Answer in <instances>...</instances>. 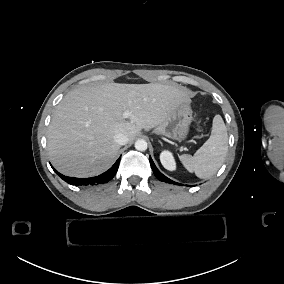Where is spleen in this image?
Segmentation results:
<instances>
[{
    "mask_svg": "<svg viewBox=\"0 0 284 284\" xmlns=\"http://www.w3.org/2000/svg\"><path fill=\"white\" fill-rule=\"evenodd\" d=\"M228 151V134L220 115L213 119L210 138L191 155H180L178 158L183 167L196 177L205 179L214 175L222 166Z\"/></svg>",
    "mask_w": 284,
    "mask_h": 284,
    "instance_id": "spleen-1",
    "label": "spleen"
}]
</instances>
